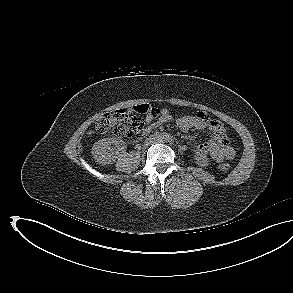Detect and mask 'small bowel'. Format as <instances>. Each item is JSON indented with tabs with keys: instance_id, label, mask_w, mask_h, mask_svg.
<instances>
[{
	"instance_id": "c3829d8e",
	"label": "small bowel",
	"mask_w": 293,
	"mask_h": 293,
	"mask_svg": "<svg viewBox=\"0 0 293 293\" xmlns=\"http://www.w3.org/2000/svg\"><path fill=\"white\" fill-rule=\"evenodd\" d=\"M134 111L145 114L147 126L143 128L142 134L146 135L152 129L164 122L172 119L167 109H160L148 104H140L134 107ZM177 125L183 132L192 128L208 129L212 133V138L198 145L194 152L196 154L207 153L216 162L231 160L234 158L235 151L230 144L223 125L210 117L205 112H198L196 115H186L177 120Z\"/></svg>"
}]
</instances>
